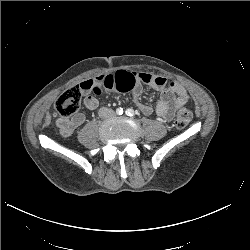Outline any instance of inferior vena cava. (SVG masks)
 <instances>
[{
  "mask_svg": "<svg viewBox=\"0 0 250 250\" xmlns=\"http://www.w3.org/2000/svg\"><path fill=\"white\" fill-rule=\"evenodd\" d=\"M113 114H114V111L106 107H102L99 110V116L104 117V118L111 117L113 116Z\"/></svg>",
  "mask_w": 250,
  "mask_h": 250,
  "instance_id": "obj_1",
  "label": "inferior vena cava"
}]
</instances>
